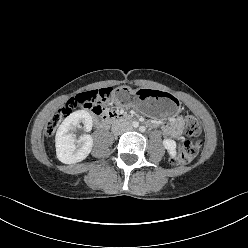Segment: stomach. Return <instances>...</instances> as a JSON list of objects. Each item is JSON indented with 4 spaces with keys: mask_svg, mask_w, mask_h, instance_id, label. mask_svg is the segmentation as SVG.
<instances>
[{
    "mask_svg": "<svg viewBox=\"0 0 248 248\" xmlns=\"http://www.w3.org/2000/svg\"><path fill=\"white\" fill-rule=\"evenodd\" d=\"M114 102L119 107L133 105L139 113L157 118L174 116L180 109L177 98L155 87L132 90L128 86H121L114 93Z\"/></svg>",
    "mask_w": 248,
    "mask_h": 248,
    "instance_id": "obj_1",
    "label": "stomach"
}]
</instances>
